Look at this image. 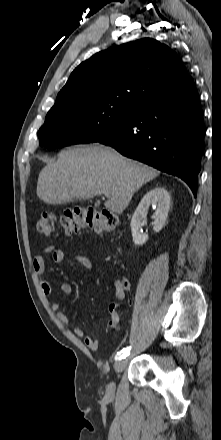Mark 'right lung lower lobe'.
I'll return each mask as SVG.
<instances>
[{
    "mask_svg": "<svg viewBox=\"0 0 221 440\" xmlns=\"http://www.w3.org/2000/svg\"><path fill=\"white\" fill-rule=\"evenodd\" d=\"M122 155L181 178L194 196L204 151V122L193 83L134 108L109 136L97 141Z\"/></svg>",
    "mask_w": 221,
    "mask_h": 440,
    "instance_id": "98d812e1",
    "label": "right lung lower lobe"
}]
</instances>
